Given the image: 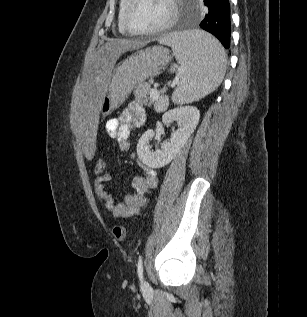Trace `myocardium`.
<instances>
[{
	"mask_svg": "<svg viewBox=\"0 0 307 317\" xmlns=\"http://www.w3.org/2000/svg\"><path fill=\"white\" fill-rule=\"evenodd\" d=\"M134 2L135 0H127V3L124 8V12H123V24L125 29L130 34L139 35V36H154L168 30L170 27H172L176 23L178 19V6L176 3V0H169L171 13L169 18L163 24L149 30H136L131 26L129 22V11Z\"/></svg>",
	"mask_w": 307,
	"mask_h": 317,
	"instance_id": "obj_1",
	"label": "myocardium"
}]
</instances>
